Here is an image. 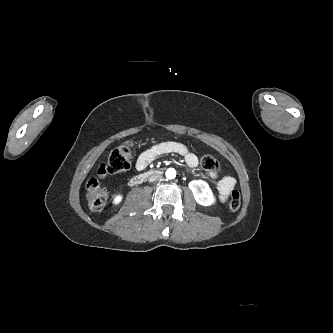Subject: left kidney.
Segmentation results:
<instances>
[{
	"label": "left kidney",
	"instance_id": "obj_1",
	"mask_svg": "<svg viewBox=\"0 0 333 333\" xmlns=\"http://www.w3.org/2000/svg\"><path fill=\"white\" fill-rule=\"evenodd\" d=\"M189 188L197 203L203 206H210L214 203L215 199L213 193L208 185L203 180H193L189 183Z\"/></svg>",
	"mask_w": 333,
	"mask_h": 333
}]
</instances>
